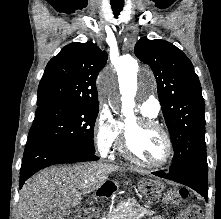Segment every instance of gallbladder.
Wrapping results in <instances>:
<instances>
[{
	"label": "gallbladder",
	"instance_id": "1",
	"mask_svg": "<svg viewBox=\"0 0 221 219\" xmlns=\"http://www.w3.org/2000/svg\"><path fill=\"white\" fill-rule=\"evenodd\" d=\"M42 219H64L60 211H47Z\"/></svg>",
	"mask_w": 221,
	"mask_h": 219
}]
</instances>
